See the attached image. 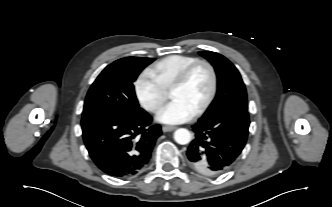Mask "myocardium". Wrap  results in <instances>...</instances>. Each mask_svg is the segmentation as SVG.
<instances>
[{
    "label": "myocardium",
    "instance_id": "1",
    "mask_svg": "<svg viewBox=\"0 0 332 207\" xmlns=\"http://www.w3.org/2000/svg\"><path fill=\"white\" fill-rule=\"evenodd\" d=\"M198 66H205L208 69V71L210 73V77H211V86H210V90H209L207 97L205 98L203 103L199 106V108L195 111V113H194L195 116H198V115H201L202 113H204L207 110V108L211 105L212 101L215 98L217 88H218V75H217L216 69L213 66V64L205 59H197L196 61H194L191 64H189L188 66H186L179 73V75L176 77V79L174 80V82L172 83V85L170 87V91H171V90H174V89H177V88L183 86L186 83V81L188 80L191 73Z\"/></svg>",
    "mask_w": 332,
    "mask_h": 207
}]
</instances>
